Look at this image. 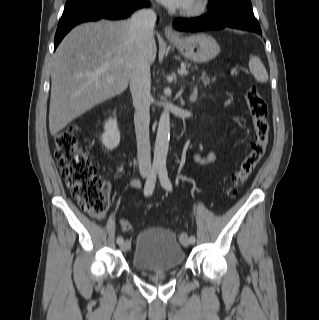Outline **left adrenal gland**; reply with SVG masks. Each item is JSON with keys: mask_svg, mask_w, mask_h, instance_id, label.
Listing matches in <instances>:
<instances>
[{"mask_svg": "<svg viewBox=\"0 0 319 320\" xmlns=\"http://www.w3.org/2000/svg\"><path fill=\"white\" fill-rule=\"evenodd\" d=\"M196 98H197V89L196 88H194L193 89V92H192V94H191V96H190V101H195L196 100Z\"/></svg>", "mask_w": 319, "mask_h": 320, "instance_id": "1", "label": "left adrenal gland"}]
</instances>
